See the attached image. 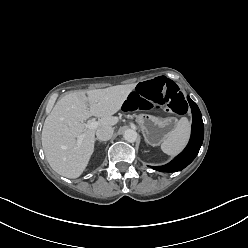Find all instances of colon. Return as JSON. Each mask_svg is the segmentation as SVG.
Here are the masks:
<instances>
[{
  "label": "colon",
  "mask_w": 248,
  "mask_h": 248,
  "mask_svg": "<svg viewBox=\"0 0 248 248\" xmlns=\"http://www.w3.org/2000/svg\"><path fill=\"white\" fill-rule=\"evenodd\" d=\"M122 106L129 112L165 106L177 115L184 114L187 110L185 98L177 85L162 78L140 84L123 101Z\"/></svg>",
  "instance_id": "5ec220e1"
}]
</instances>
